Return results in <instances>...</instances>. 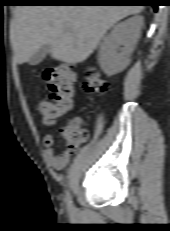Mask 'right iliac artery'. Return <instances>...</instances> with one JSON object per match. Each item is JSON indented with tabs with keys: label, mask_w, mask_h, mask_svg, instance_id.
<instances>
[{
	"label": "right iliac artery",
	"mask_w": 170,
	"mask_h": 231,
	"mask_svg": "<svg viewBox=\"0 0 170 231\" xmlns=\"http://www.w3.org/2000/svg\"><path fill=\"white\" fill-rule=\"evenodd\" d=\"M66 205L68 207V209H72V198L69 192L66 193Z\"/></svg>",
	"instance_id": "right-iliac-artery-1"
}]
</instances>
